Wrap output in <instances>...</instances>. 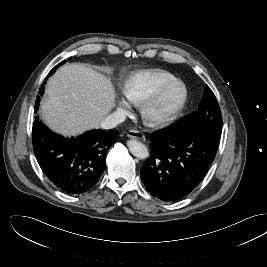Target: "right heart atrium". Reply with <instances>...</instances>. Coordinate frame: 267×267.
<instances>
[{
    "label": "right heart atrium",
    "instance_id": "1",
    "mask_svg": "<svg viewBox=\"0 0 267 267\" xmlns=\"http://www.w3.org/2000/svg\"><path fill=\"white\" fill-rule=\"evenodd\" d=\"M118 108L119 110L126 111L129 108V104L124 98H121L118 101Z\"/></svg>",
    "mask_w": 267,
    "mask_h": 267
}]
</instances>
